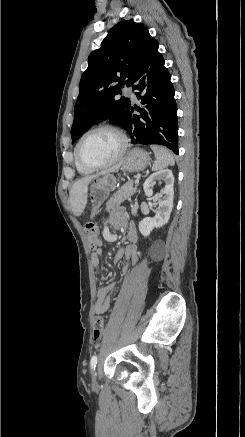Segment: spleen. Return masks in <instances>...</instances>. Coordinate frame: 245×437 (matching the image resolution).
<instances>
[{
    "mask_svg": "<svg viewBox=\"0 0 245 437\" xmlns=\"http://www.w3.org/2000/svg\"><path fill=\"white\" fill-rule=\"evenodd\" d=\"M156 160L153 163L152 170L157 171L166 168L167 166H173L175 164L173 154L163 146L151 145Z\"/></svg>",
    "mask_w": 245,
    "mask_h": 437,
    "instance_id": "1",
    "label": "spleen"
}]
</instances>
